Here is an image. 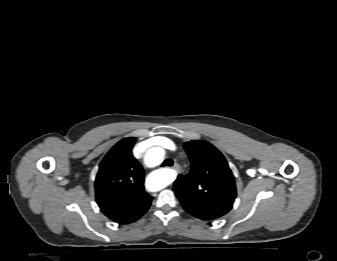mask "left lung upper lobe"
<instances>
[{
    "label": "left lung upper lobe",
    "instance_id": "1",
    "mask_svg": "<svg viewBox=\"0 0 337 261\" xmlns=\"http://www.w3.org/2000/svg\"><path fill=\"white\" fill-rule=\"evenodd\" d=\"M191 171L179 175L174 191L190 215L212 221L225 215L236 198L233 174L222 153L202 140L184 143Z\"/></svg>",
    "mask_w": 337,
    "mask_h": 261
}]
</instances>
